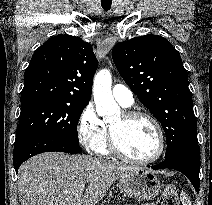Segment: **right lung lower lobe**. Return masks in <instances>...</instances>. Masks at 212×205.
Returning <instances> with one entry per match:
<instances>
[{
	"instance_id": "1",
	"label": "right lung lower lobe",
	"mask_w": 212,
	"mask_h": 205,
	"mask_svg": "<svg viewBox=\"0 0 212 205\" xmlns=\"http://www.w3.org/2000/svg\"><path fill=\"white\" fill-rule=\"evenodd\" d=\"M50 151L77 154L82 149L79 147V144L58 137L39 136L29 138L14 145L13 163L15 171L17 172L20 165L30 157Z\"/></svg>"
}]
</instances>
